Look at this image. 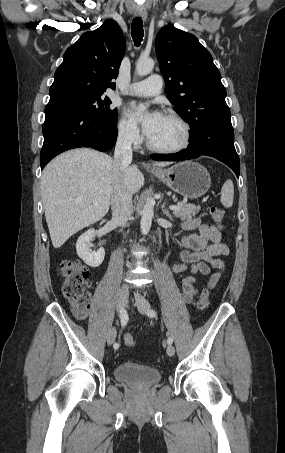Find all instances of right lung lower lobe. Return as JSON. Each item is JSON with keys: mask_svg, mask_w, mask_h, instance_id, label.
Listing matches in <instances>:
<instances>
[{"mask_svg": "<svg viewBox=\"0 0 285 453\" xmlns=\"http://www.w3.org/2000/svg\"><path fill=\"white\" fill-rule=\"evenodd\" d=\"M116 123L106 125L94 119L75 102L52 97L45 108L42 127L44 143L40 153L41 169L58 154L73 148L91 147L107 151L115 145Z\"/></svg>", "mask_w": 285, "mask_h": 453, "instance_id": "98d812e1", "label": "right lung lower lobe"}]
</instances>
